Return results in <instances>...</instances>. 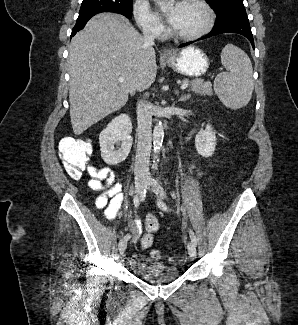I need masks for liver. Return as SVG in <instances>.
<instances>
[{"mask_svg": "<svg viewBox=\"0 0 298 325\" xmlns=\"http://www.w3.org/2000/svg\"><path fill=\"white\" fill-rule=\"evenodd\" d=\"M74 134L126 104L157 76L156 52L122 14L100 12L73 36L68 56ZM124 76V82L117 78Z\"/></svg>", "mask_w": 298, "mask_h": 325, "instance_id": "obj_1", "label": "liver"}]
</instances>
